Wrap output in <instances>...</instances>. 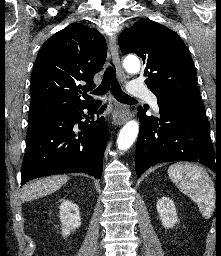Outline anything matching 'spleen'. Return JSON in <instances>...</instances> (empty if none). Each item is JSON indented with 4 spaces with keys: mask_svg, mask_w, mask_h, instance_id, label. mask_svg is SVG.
<instances>
[{
    "mask_svg": "<svg viewBox=\"0 0 221 256\" xmlns=\"http://www.w3.org/2000/svg\"><path fill=\"white\" fill-rule=\"evenodd\" d=\"M170 179L182 193L194 201L206 219L215 208L216 191L208 173L200 166L191 163H175L168 168Z\"/></svg>",
    "mask_w": 221,
    "mask_h": 256,
    "instance_id": "3e777b00",
    "label": "spleen"
}]
</instances>
